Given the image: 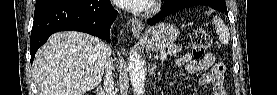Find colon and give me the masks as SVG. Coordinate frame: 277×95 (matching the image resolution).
Instances as JSON below:
<instances>
[{
	"label": "colon",
	"instance_id": "1",
	"mask_svg": "<svg viewBox=\"0 0 277 95\" xmlns=\"http://www.w3.org/2000/svg\"><path fill=\"white\" fill-rule=\"evenodd\" d=\"M212 43L211 36L202 28L190 32L191 50L195 58H202Z\"/></svg>",
	"mask_w": 277,
	"mask_h": 95
}]
</instances>
